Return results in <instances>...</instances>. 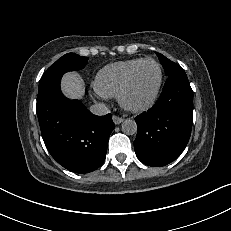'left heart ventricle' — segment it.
<instances>
[{
    "label": "left heart ventricle",
    "mask_w": 231,
    "mask_h": 231,
    "mask_svg": "<svg viewBox=\"0 0 231 231\" xmlns=\"http://www.w3.org/2000/svg\"><path fill=\"white\" fill-rule=\"evenodd\" d=\"M159 79V71L154 63L142 65L135 74L127 94V101L132 105L146 102L153 94Z\"/></svg>",
    "instance_id": "b2bd125f"
}]
</instances>
